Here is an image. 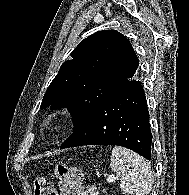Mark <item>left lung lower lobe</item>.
<instances>
[{
    "mask_svg": "<svg viewBox=\"0 0 189 195\" xmlns=\"http://www.w3.org/2000/svg\"><path fill=\"white\" fill-rule=\"evenodd\" d=\"M152 134L146 97L133 80L111 94L61 145H119L151 159Z\"/></svg>",
    "mask_w": 189,
    "mask_h": 195,
    "instance_id": "0a47b994",
    "label": "left lung lower lobe"
}]
</instances>
